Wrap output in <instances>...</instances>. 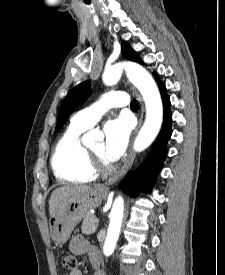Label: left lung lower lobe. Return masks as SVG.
Returning <instances> with one entry per match:
<instances>
[{"label": "left lung lower lobe", "mask_w": 225, "mask_h": 275, "mask_svg": "<svg viewBox=\"0 0 225 275\" xmlns=\"http://www.w3.org/2000/svg\"><path fill=\"white\" fill-rule=\"evenodd\" d=\"M155 78L163 100V126L145 162L133 174L127 175L119 185L121 190L131 197L136 196L141 190L151 188L156 175L160 172L163 159L167 154V141L171 137L172 115L170 112V100L166 94L165 86L158 80L156 74Z\"/></svg>", "instance_id": "0a47b994"}]
</instances>
